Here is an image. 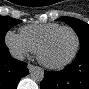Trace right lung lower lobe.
Segmentation results:
<instances>
[{"instance_id":"98d812e1","label":"right lung lower lobe","mask_w":89,"mask_h":89,"mask_svg":"<svg viewBox=\"0 0 89 89\" xmlns=\"http://www.w3.org/2000/svg\"><path fill=\"white\" fill-rule=\"evenodd\" d=\"M28 72L26 63L14 59L6 45L0 46V89H15Z\"/></svg>"}]
</instances>
